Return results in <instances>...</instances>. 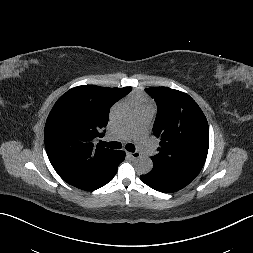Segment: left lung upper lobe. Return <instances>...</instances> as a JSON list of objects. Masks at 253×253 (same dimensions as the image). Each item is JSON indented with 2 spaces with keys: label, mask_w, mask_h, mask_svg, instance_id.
I'll return each mask as SVG.
<instances>
[{
  "label": "left lung upper lobe",
  "mask_w": 253,
  "mask_h": 253,
  "mask_svg": "<svg viewBox=\"0 0 253 253\" xmlns=\"http://www.w3.org/2000/svg\"><path fill=\"white\" fill-rule=\"evenodd\" d=\"M145 91L158 106L153 133L161 141L158 154L151 157L153 165L196 177L209 148L205 115L186 93L168 87Z\"/></svg>",
  "instance_id": "obj_1"
}]
</instances>
